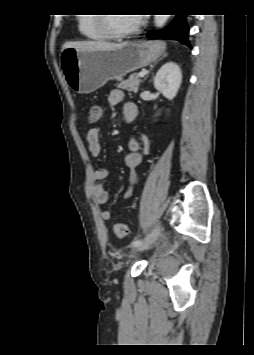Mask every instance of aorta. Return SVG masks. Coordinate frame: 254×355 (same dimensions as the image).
I'll return each instance as SVG.
<instances>
[{"label": "aorta", "instance_id": "aorta-1", "mask_svg": "<svg viewBox=\"0 0 254 355\" xmlns=\"http://www.w3.org/2000/svg\"><path fill=\"white\" fill-rule=\"evenodd\" d=\"M170 15H155L154 22L155 26L158 28H162L167 20L169 19Z\"/></svg>", "mask_w": 254, "mask_h": 355}]
</instances>
